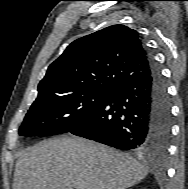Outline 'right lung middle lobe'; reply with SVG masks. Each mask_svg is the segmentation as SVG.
<instances>
[{
	"label": "right lung middle lobe",
	"mask_w": 188,
	"mask_h": 189,
	"mask_svg": "<svg viewBox=\"0 0 188 189\" xmlns=\"http://www.w3.org/2000/svg\"><path fill=\"white\" fill-rule=\"evenodd\" d=\"M112 91L91 88L38 96L19 129L23 136H52L73 130Z\"/></svg>",
	"instance_id": "right-lung-middle-lobe-1"
}]
</instances>
